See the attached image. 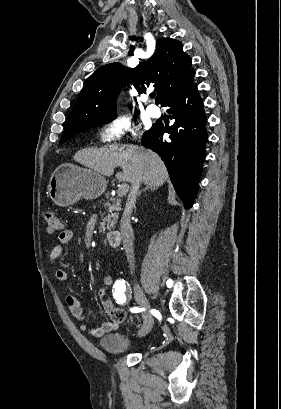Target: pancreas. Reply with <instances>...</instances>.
Returning <instances> with one entry per match:
<instances>
[{
  "mask_svg": "<svg viewBox=\"0 0 281 409\" xmlns=\"http://www.w3.org/2000/svg\"><path fill=\"white\" fill-rule=\"evenodd\" d=\"M110 200H113V202H115V205H111V202H105V207H107V211H108V217L104 219L101 225L102 227H104V225H106L107 223L108 229H113V227L117 225L119 211H121V205H120L121 200L120 198H112V196H110ZM113 211H116V213H113Z\"/></svg>",
  "mask_w": 281,
  "mask_h": 409,
  "instance_id": "obj_1",
  "label": "pancreas"
}]
</instances>
